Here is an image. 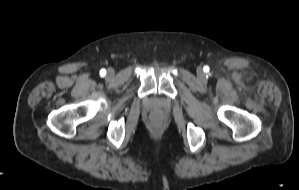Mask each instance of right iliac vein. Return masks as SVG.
<instances>
[{
	"instance_id": "63e3f726",
	"label": "right iliac vein",
	"mask_w": 299,
	"mask_h": 190,
	"mask_svg": "<svg viewBox=\"0 0 299 190\" xmlns=\"http://www.w3.org/2000/svg\"><path fill=\"white\" fill-rule=\"evenodd\" d=\"M113 73H114V72H113V70H112V69H109V70H108V75H109V76H112V75H113Z\"/></svg>"
}]
</instances>
